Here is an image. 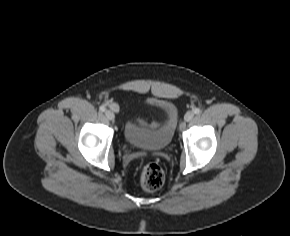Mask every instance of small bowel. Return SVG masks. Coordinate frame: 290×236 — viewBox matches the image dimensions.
Returning <instances> with one entry per match:
<instances>
[{
  "mask_svg": "<svg viewBox=\"0 0 290 236\" xmlns=\"http://www.w3.org/2000/svg\"><path fill=\"white\" fill-rule=\"evenodd\" d=\"M113 108H114V109H116V106H115V105H113Z\"/></svg>",
  "mask_w": 290,
  "mask_h": 236,
  "instance_id": "c3829d8e",
  "label": "small bowel"
}]
</instances>
